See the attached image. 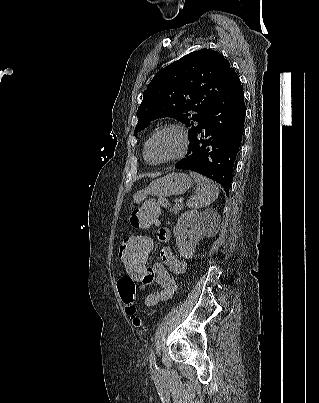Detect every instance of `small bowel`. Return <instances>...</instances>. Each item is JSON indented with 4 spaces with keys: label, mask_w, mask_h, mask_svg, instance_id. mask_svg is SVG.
<instances>
[{
    "label": "small bowel",
    "mask_w": 319,
    "mask_h": 403,
    "mask_svg": "<svg viewBox=\"0 0 319 403\" xmlns=\"http://www.w3.org/2000/svg\"><path fill=\"white\" fill-rule=\"evenodd\" d=\"M156 235L160 243H167L170 239V233L165 228H159ZM149 242L152 253L156 248V242L151 237H149ZM160 257L162 262H151L148 271L143 273V278L140 280V283L146 286H151L153 281H156L160 287L158 291L147 295L145 299L147 306H155L171 299L176 291V282L170 272L175 275H184L187 271L186 261L179 259L169 247L162 248Z\"/></svg>",
    "instance_id": "small-bowel-1"
}]
</instances>
